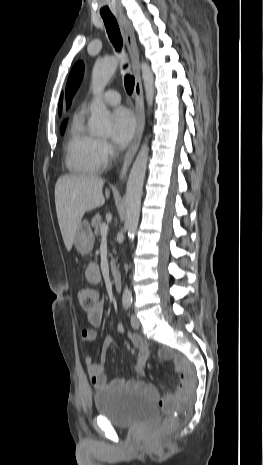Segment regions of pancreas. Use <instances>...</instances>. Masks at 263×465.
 Masks as SVG:
<instances>
[{
	"label": "pancreas",
	"instance_id": "obj_1",
	"mask_svg": "<svg viewBox=\"0 0 263 465\" xmlns=\"http://www.w3.org/2000/svg\"><path fill=\"white\" fill-rule=\"evenodd\" d=\"M91 225L94 228V233L98 235L100 233L101 225H102V219L100 215H96L94 218L91 220ZM114 266V260L111 262V267Z\"/></svg>",
	"mask_w": 263,
	"mask_h": 465
}]
</instances>
